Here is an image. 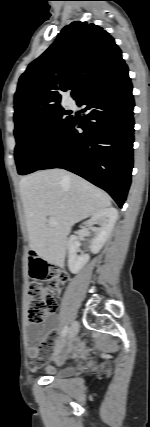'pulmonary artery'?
Masks as SVG:
<instances>
[{
    "label": "pulmonary artery",
    "mask_w": 150,
    "mask_h": 427,
    "mask_svg": "<svg viewBox=\"0 0 150 427\" xmlns=\"http://www.w3.org/2000/svg\"><path fill=\"white\" fill-rule=\"evenodd\" d=\"M67 105L69 107H73L74 106V101L72 99H69L68 102H67Z\"/></svg>",
    "instance_id": "1"
}]
</instances>
